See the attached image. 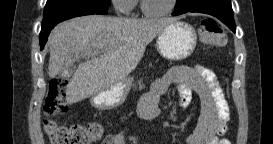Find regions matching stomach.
Instances as JSON below:
<instances>
[{
    "label": "stomach",
    "mask_w": 273,
    "mask_h": 144,
    "mask_svg": "<svg viewBox=\"0 0 273 144\" xmlns=\"http://www.w3.org/2000/svg\"><path fill=\"white\" fill-rule=\"evenodd\" d=\"M197 42L194 27L186 22L175 21L168 24L156 40L157 50L160 55L168 60L178 61L189 57ZM132 78H125L99 93L92 95L90 102L97 109L105 110L120 106L125 102Z\"/></svg>",
    "instance_id": "1"
}]
</instances>
